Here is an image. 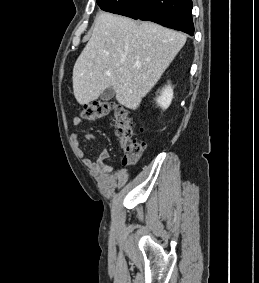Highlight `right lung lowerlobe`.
<instances>
[{"label":"right lung lower lobe","mask_w":259,"mask_h":283,"mask_svg":"<svg viewBox=\"0 0 259 283\" xmlns=\"http://www.w3.org/2000/svg\"><path fill=\"white\" fill-rule=\"evenodd\" d=\"M97 4L107 12L194 34L191 0H97Z\"/></svg>","instance_id":"right-lung-lower-lobe-1"}]
</instances>
